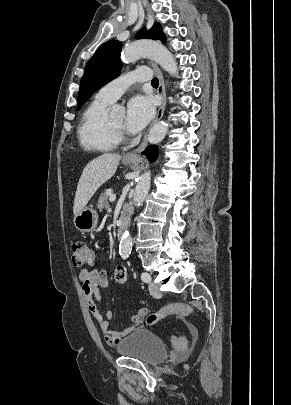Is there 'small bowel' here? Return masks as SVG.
<instances>
[{
    "label": "small bowel",
    "instance_id": "c3829d8e",
    "mask_svg": "<svg viewBox=\"0 0 291 405\" xmlns=\"http://www.w3.org/2000/svg\"><path fill=\"white\" fill-rule=\"evenodd\" d=\"M81 288L87 302V307L95 319V322L104 336L107 344L115 345L135 329L142 326L143 319L147 314V309L143 308L136 312L132 319L133 325L120 331H111L110 321L114 317L112 310H107L103 316L97 304L103 299V290L108 286V275L104 269L84 270L80 274Z\"/></svg>",
    "mask_w": 291,
    "mask_h": 405
}]
</instances>
